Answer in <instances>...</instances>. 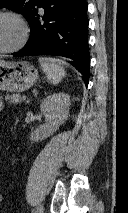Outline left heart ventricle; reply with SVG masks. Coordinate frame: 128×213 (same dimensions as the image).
Segmentation results:
<instances>
[{
    "label": "left heart ventricle",
    "instance_id": "b2bd125f",
    "mask_svg": "<svg viewBox=\"0 0 128 213\" xmlns=\"http://www.w3.org/2000/svg\"><path fill=\"white\" fill-rule=\"evenodd\" d=\"M21 36L18 23L7 16H0V50L14 46Z\"/></svg>",
    "mask_w": 128,
    "mask_h": 213
}]
</instances>
